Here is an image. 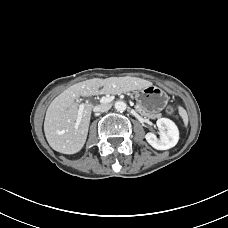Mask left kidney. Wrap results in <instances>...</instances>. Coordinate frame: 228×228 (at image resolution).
Instances as JSON below:
<instances>
[{
	"mask_svg": "<svg viewBox=\"0 0 228 228\" xmlns=\"http://www.w3.org/2000/svg\"><path fill=\"white\" fill-rule=\"evenodd\" d=\"M156 124L160 139L154 133L149 132L145 135L147 142L157 150H168L174 147L179 140V130L175 123L170 119L160 118Z\"/></svg>",
	"mask_w": 228,
	"mask_h": 228,
	"instance_id": "1",
	"label": "left kidney"
}]
</instances>
